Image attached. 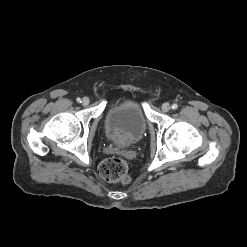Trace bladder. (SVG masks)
<instances>
[{
  "label": "bladder",
  "mask_w": 247,
  "mask_h": 247,
  "mask_svg": "<svg viewBox=\"0 0 247 247\" xmlns=\"http://www.w3.org/2000/svg\"><path fill=\"white\" fill-rule=\"evenodd\" d=\"M146 129L147 118L142 105L135 99L117 102L106 113V134L115 143H134L142 138Z\"/></svg>",
  "instance_id": "bladder-1"
}]
</instances>
